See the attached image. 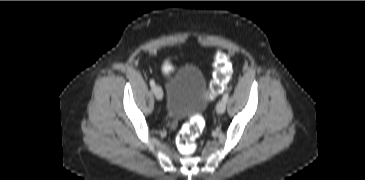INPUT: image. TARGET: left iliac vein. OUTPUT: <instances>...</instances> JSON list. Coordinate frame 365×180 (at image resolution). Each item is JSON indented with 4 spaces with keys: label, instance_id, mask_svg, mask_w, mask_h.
Instances as JSON below:
<instances>
[{
    "label": "left iliac vein",
    "instance_id": "4c4485c4",
    "mask_svg": "<svg viewBox=\"0 0 365 180\" xmlns=\"http://www.w3.org/2000/svg\"><path fill=\"white\" fill-rule=\"evenodd\" d=\"M225 109H226V102L222 99L217 103L216 112L218 114H223L225 112Z\"/></svg>",
    "mask_w": 365,
    "mask_h": 180
}]
</instances>
